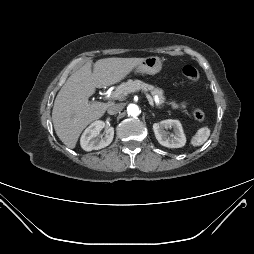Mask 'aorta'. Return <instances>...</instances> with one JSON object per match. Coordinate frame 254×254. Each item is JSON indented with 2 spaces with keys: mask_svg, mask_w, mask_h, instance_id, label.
Wrapping results in <instances>:
<instances>
[{
  "mask_svg": "<svg viewBox=\"0 0 254 254\" xmlns=\"http://www.w3.org/2000/svg\"><path fill=\"white\" fill-rule=\"evenodd\" d=\"M127 113L130 116H137L140 113L139 107L135 104H130L127 107Z\"/></svg>",
  "mask_w": 254,
  "mask_h": 254,
  "instance_id": "obj_1",
  "label": "aorta"
}]
</instances>
